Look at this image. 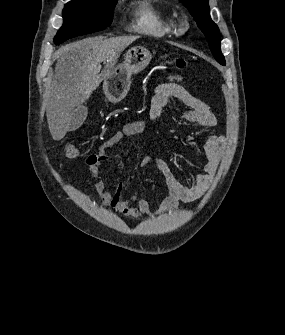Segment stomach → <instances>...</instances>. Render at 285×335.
Wrapping results in <instances>:
<instances>
[{
  "instance_id": "1",
  "label": "stomach",
  "mask_w": 285,
  "mask_h": 335,
  "mask_svg": "<svg viewBox=\"0 0 285 335\" xmlns=\"http://www.w3.org/2000/svg\"><path fill=\"white\" fill-rule=\"evenodd\" d=\"M152 60V54L142 46L130 48L124 56V62L112 70L103 82V90L109 102H120L130 90L132 74L144 70Z\"/></svg>"
}]
</instances>
